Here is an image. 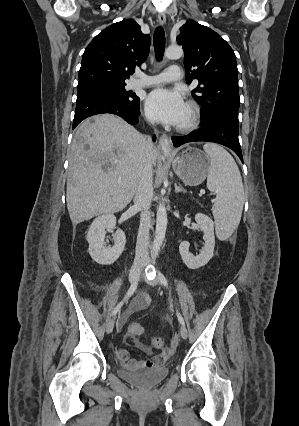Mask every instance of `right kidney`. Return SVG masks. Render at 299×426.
<instances>
[{"label": "right kidney", "instance_id": "obj_1", "mask_svg": "<svg viewBox=\"0 0 299 426\" xmlns=\"http://www.w3.org/2000/svg\"><path fill=\"white\" fill-rule=\"evenodd\" d=\"M116 228V217L113 214H104L94 219L87 232L86 240L89 243L88 252L91 258L101 265L113 264L125 249V233L118 229L114 238V245L106 247V230L113 232Z\"/></svg>", "mask_w": 299, "mask_h": 426}]
</instances>
